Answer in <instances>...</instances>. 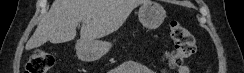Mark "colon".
<instances>
[{
  "instance_id": "1",
  "label": "colon",
  "mask_w": 244,
  "mask_h": 73,
  "mask_svg": "<svg viewBox=\"0 0 244 73\" xmlns=\"http://www.w3.org/2000/svg\"><path fill=\"white\" fill-rule=\"evenodd\" d=\"M170 36L173 47L163 55V60L170 69L183 65L196 51V42L193 34L181 23H170ZM55 64L54 57L44 50L36 49L25 66L24 73H49Z\"/></svg>"
}]
</instances>
